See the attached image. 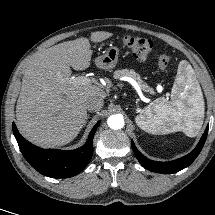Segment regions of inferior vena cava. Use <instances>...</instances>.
Listing matches in <instances>:
<instances>
[{"instance_id": "1", "label": "inferior vena cava", "mask_w": 215, "mask_h": 215, "mask_svg": "<svg viewBox=\"0 0 215 215\" xmlns=\"http://www.w3.org/2000/svg\"><path fill=\"white\" fill-rule=\"evenodd\" d=\"M85 106L89 111H96L103 107V100L98 97H91L86 100Z\"/></svg>"}]
</instances>
